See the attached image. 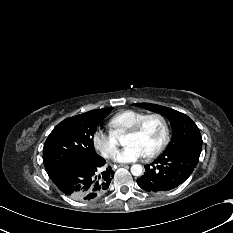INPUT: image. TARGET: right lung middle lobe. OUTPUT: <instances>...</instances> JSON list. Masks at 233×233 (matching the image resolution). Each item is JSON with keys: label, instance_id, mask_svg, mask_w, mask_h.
Segmentation results:
<instances>
[{"label": "right lung middle lobe", "instance_id": "1", "mask_svg": "<svg viewBox=\"0 0 233 233\" xmlns=\"http://www.w3.org/2000/svg\"><path fill=\"white\" fill-rule=\"evenodd\" d=\"M112 109L92 110L68 118L53 129L43 147V163L50 178L72 162L91 161L99 156L94 149V132Z\"/></svg>", "mask_w": 233, "mask_h": 233}]
</instances>
